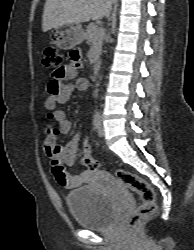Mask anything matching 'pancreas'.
<instances>
[{
    "label": "pancreas",
    "mask_w": 194,
    "mask_h": 250,
    "mask_svg": "<svg viewBox=\"0 0 194 250\" xmlns=\"http://www.w3.org/2000/svg\"><path fill=\"white\" fill-rule=\"evenodd\" d=\"M104 34L105 30L95 24L88 25L86 32L84 33V38L92 48L93 61H96L99 58Z\"/></svg>",
    "instance_id": "pancreas-1"
}]
</instances>
